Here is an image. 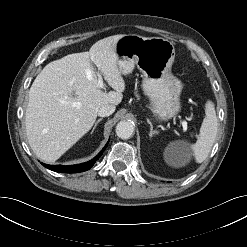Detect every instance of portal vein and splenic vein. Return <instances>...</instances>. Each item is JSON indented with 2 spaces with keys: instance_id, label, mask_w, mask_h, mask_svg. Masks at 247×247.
I'll use <instances>...</instances> for the list:
<instances>
[{
  "instance_id": "1",
  "label": "portal vein and splenic vein",
  "mask_w": 247,
  "mask_h": 247,
  "mask_svg": "<svg viewBox=\"0 0 247 247\" xmlns=\"http://www.w3.org/2000/svg\"><path fill=\"white\" fill-rule=\"evenodd\" d=\"M98 86L101 89L104 88L103 79H102V76L99 73H98ZM182 126H183V130L186 131L187 130V122H186V120L182 121Z\"/></svg>"
}]
</instances>
